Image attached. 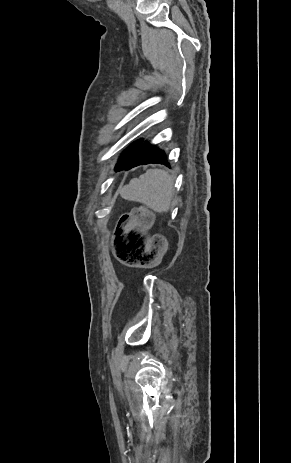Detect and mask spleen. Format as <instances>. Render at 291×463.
I'll list each match as a JSON object with an SVG mask.
<instances>
[{"mask_svg": "<svg viewBox=\"0 0 291 463\" xmlns=\"http://www.w3.org/2000/svg\"><path fill=\"white\" fill-rule=\"evenodd\" d=\"M174 180L161 169H148L139 178L125 185L120 195L129 201L140 202L157 213L169 211L174 195Z\"/></svg>", "mask_w": 291, "mask_h": 463, "instance_id": "obj_1", "label": "spleen"}]
</instances>
